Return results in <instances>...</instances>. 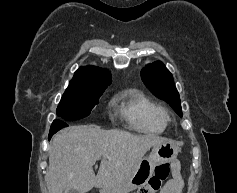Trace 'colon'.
I'll return each mask as SVG.
<instances>
[{
    "label": "colon",
    "instance_id": "1",
    "mask_svg": "<svg viewBox=\"0 0 237 193\" xmlns=\"http://www.w3.org/2000/svg\"><path fill=\"white\" fill-rule=\"evenodd\" d=\"M169 173L170 167L168 164L157 165L148 183L136 193H157L161 189L162 184L167 180Z\"/></svg>",
    "mask_w": 237,
    "mask_h": 193
}]
</instances>
